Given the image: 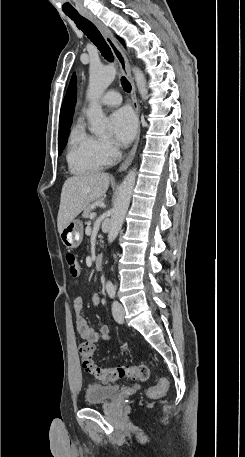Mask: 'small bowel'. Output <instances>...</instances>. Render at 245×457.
<instances>
[{
  "instance_id": "c3829d8e",
  "label": "small bowel",
  "mask_w": 245,
  "mask_h": 457,
  "mask_svg": "<svg viewBox=\"0 0 245 457\" xmlns=\"http://www.w3.org/2000/svg\"><path fill=\"white\" fill-rule=\"evenodd\" d=\"M92 301L95 305L99 303V296L97 293L92 296ZM73 308L76 313L77 331L81 338L92 343L100 340L107 341L110 339V328L108 326L104 325L97 331L89 325L84 317L81 316L83 308V299L81 297L74 299Z\"/></svg>"
}]
</instances>
